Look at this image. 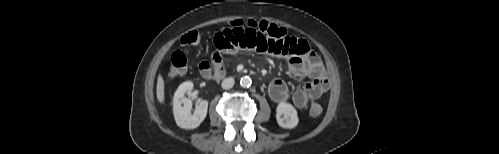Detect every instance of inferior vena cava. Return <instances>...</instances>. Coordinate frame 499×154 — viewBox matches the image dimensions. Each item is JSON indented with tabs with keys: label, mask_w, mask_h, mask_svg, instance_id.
Masks as SVG:
<instances>
[{
	"label": "inferior vena cava",
	"mask_w": 499,
	"mask_h": 154,
	"mask_svg": "<svg viewBox=\"0 0 499 154\" xmlns=\"http://www.w3.org/2000/svg\"><path fill=\"white\" fill-rule=\"evenodd\" d=\"M233 86H234V79L233 78H226L221 83V87L223 89H230Z\"/></svg>",
	"instance_id": "inferior-vena-cava-1"
}]
</instances>
